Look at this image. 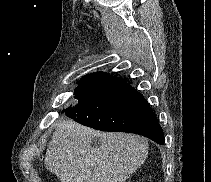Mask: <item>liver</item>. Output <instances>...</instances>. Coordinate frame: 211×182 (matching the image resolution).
Instances as JSON below:
<instances>
[{"instance_id":"6515ba94","label":"liver","mask_w":211,"mask_h":182,"mask_svg":"<svg viewBox=\"0 0 211 182\" xmlns=\"http://www.w3.org/2000/svg\"><path fill=\"white\" fill-rule=\"evenodd\" d=\"M98 137L100 144L93 145ZM148 142L134 134L105 133L60 121L45 155L61 182H125L145 161Z\"/></svg>"}]
</instances>
